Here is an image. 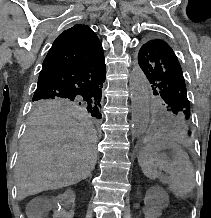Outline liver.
Returning <instances> with one entry per match:
<instances>
[{
  "mask_svg": "<svg viewBox=\"0 0 211 218\" xmlns=\"http://www.w3.org/2000/svg\"><path fill=\"white\" fill-rule=\"evenodd\" d=\"M96 142V130L82 110H34L15 168L19 200L86 180L96 166Z\"/></svg>",
  "mask_w": 211,
  "mask_h": 218,
  "instance_id": "liver-1",
  "label": "liver"
}]
</instances>
